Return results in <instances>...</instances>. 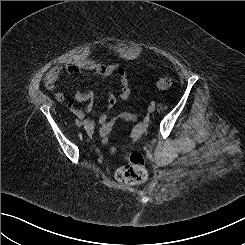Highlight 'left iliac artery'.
I'll list each match as a JSON object with an SVG mask.
<instances>
[{
    "label": "left iliac artery",
    "mask_w": 245,
    "mask_h": 245,
    "mask_svg": "<svg viewBox=\"0 0 245 245\" xmlns=\"http://www.w3.org/2000/svg\"><path fill=\"white\" fill-rule=\"evenodd\" d=\"M151 105H155V102H154V101H152V102H151Z\"/></svg>",
    "instance_id": "left-iliac-artery-1"
}]
</instances>
